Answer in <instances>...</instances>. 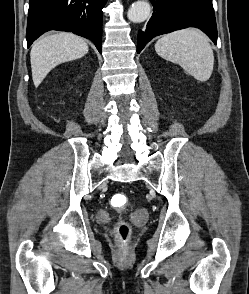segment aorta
Masks as SVG:
<instances>
[{
    "label": "aorta",
    "mask_w": 249,
    "mask_h": 294,
    "mask_svg": "<svg viewBox=\"0 0 249 294\" xmlns=\"http://www.w3.org/2000/svg\"><path fill=\"white\" fill-rule=\"evenodd\" d=\"M150 12V4L144 0H141L132 4L128 10L127 17L134 23H141L150 16Z\"/></svg>",
    "instance_id": "obj_1"
}]
</instances>
